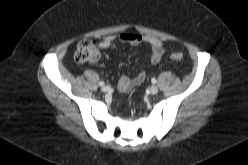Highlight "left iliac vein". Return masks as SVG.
Listing matches in <instances>:
<instances>
[{
  "mask_svg": "<svg viewBox=\"0 0 248 165\" xmlns=\"http://www.w3.org/2000/svg\"><path fill=\"white\" fill-rule=\"evenodd\" d=\"M149 91L151 94H157L158 93V88L155 85H152L149 87Z\"/></svg>",
  "mask_w": 248,
  "mask_h": 165,
  "instance_id": "4c4485c4",
  "label": "left iliac vein"
}]
</instances>
